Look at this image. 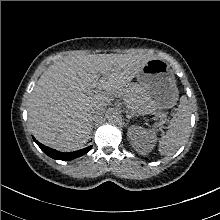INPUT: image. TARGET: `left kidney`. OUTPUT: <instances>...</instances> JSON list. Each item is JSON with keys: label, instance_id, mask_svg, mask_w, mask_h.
I'll list each match as a JSON object with an SVG mask.
<instances>
[{"label": "left kidney", "instance_id": "1", "mask_svg": "<svg viewBox=\"0 0 220 220\" xmlns=\"http://www.w3.org/2000/svg\"><path fill=\"white\" fill-rule=\"evenodd\" d=\"M127 136L132 147L142 155L151 152L157 140L152 130H147L140 126H131L128 129Z\"/></svg>", "mask_w": 220, "mask_h": 220}]
</instances>
